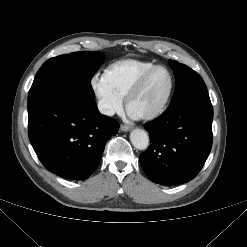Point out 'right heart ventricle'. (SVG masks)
<instances>
[{
    "instance_id": "obj_1",
    "label": "right heart ventricle",
    "mask_w": 247,
    "mask_h": 247,
    "mask_svg": "<svg viewBox=\"0 0 247 247\" xmlns=\"http://www.w3.org/2000/svg\"><path fill=\"white\" fill-rule=\"evenodd\" d=\"M153 66L155 64L149 61L123 59L109 65L105 73L114 89L125 97L139 78Z\"/></svg>"
}]
</instances>
